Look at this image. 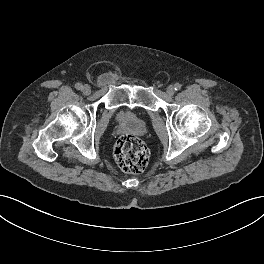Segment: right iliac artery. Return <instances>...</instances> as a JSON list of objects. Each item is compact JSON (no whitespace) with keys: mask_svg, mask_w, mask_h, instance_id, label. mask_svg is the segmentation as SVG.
Wrapping results in <instances>:
<instances>
[{"mask_svg":"<svg viewBox=\"0 0 264 264\" xmlns=\"http://www.w3.org/2000/svg\"><path fill=\"white\" fill-rule=\"evenodd\" d=\"M75 88H76L77 90H81V89L83 88V85H82L81 83H77V84L75 85Z\"/></svg>","mask_w":264,"mask_h":264,"instance_id":"obj_1","label":"right iliac artery"}]
</instances>
